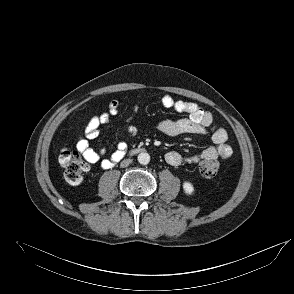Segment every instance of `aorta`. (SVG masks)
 <instances>
[{
    "mask_svg": "<svg viewBox=\"0 0 294 294\" xmlns=\"http://www.w3.org/2000/svg\"><path fill=\"white\" fill-rule=\"evenodd\" d=\"M138 162L142 165H146L150 162V155L147 152H141L138 155Z\"/></svg>",
    "mask_w": 294,
    "mask_h": 294,
    "instance_id": "762f6f07",
    "label": "aorta"
}]
</instances>
